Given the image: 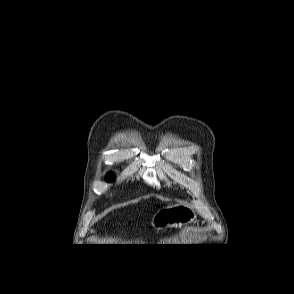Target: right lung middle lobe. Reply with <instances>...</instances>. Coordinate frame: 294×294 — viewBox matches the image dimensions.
<instances>
[{
  "instance_id": "obj_1",
  "label": "right lung middle lobe",
  "mask_w": 294,
  "mask_h": 294,
  "mask_svg": "<svg viewBox=\"0 0 294 294\" xmlns=\"http://www.w3.org/2000/svg\"><path fill=\"white\" fill-rule=\"evenodd\" d=\"M113 180H114L113 176L111 174H109L108 175V181H113Z\"/></svg>"
}]
</instances>
